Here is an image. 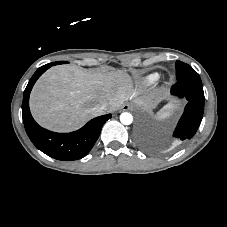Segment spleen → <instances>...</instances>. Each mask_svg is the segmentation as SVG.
<instances>
[{"label":"spleen","mask_w":227,"mask_h":227,"mask_svg":"<svg viewBox=\"0 0 227 227\" xmlns=\"http://www.w3.org/2000/svg\"><path fill=\"white\" fill-rule=\"evenodd\" d=\"M171 115V112L168 109L162 110L157 114L158 119H165Z\"/></svg>","instance_id":"obj_1"}]
</instances>
